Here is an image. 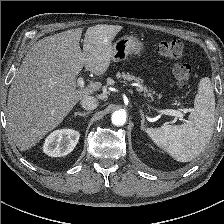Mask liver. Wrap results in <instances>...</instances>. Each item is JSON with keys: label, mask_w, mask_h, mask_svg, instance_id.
I'll return each mask as SVG.
<instances>
[{"label": "liver", "mask_w": 224, "mask_h": 224, "mask_svg": "<svg viewBox=\"0 0 224 224\" xmlns=\"http://www.w3.org/2000/svg\"><path fill=\"white\" fill-rule=\"evenodd\" d=\"M119 25L70 29L37 41L27 52L11 83L6 110L8 131L21 151H26L55 129L85 96L102 87L94 82L79 88L76 76L83 67L102 76L109 68L112 40Z\"/></svg>", "instance_id": "6515ba94"}]
</instances>
